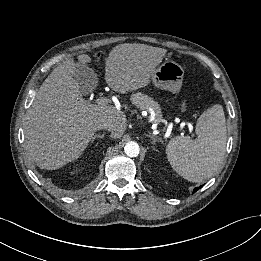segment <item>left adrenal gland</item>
Here are the masks:
<instances>
[{"mask_svg": "<svg viewBox=\"0 0 261 261\" xmlns=\"http://www.w3.org/2000/svg\"><path fill=\"white\" fill-rule=\"evenodd\" d=\"M146 136L152 140V144H154V145L156 144V142H162L161 138H157L151 134H147Z\"/></svg>", "mask_w": 261, "mask_h": 261, "instance_id": "left-adrenal-gland-1", "label": "left adrenal gland"}]
</instances>
